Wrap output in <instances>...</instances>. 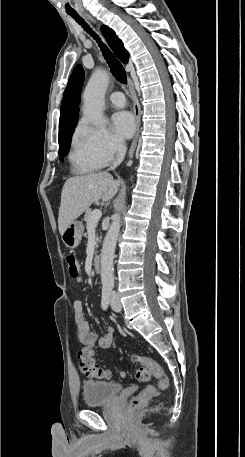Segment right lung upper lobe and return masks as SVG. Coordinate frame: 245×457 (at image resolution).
Here are the masks:
<instances>
[{
	"mask_svg": "<svg viewBox=\"0 0 245 457\" xmlns=\"http://www.w3.org/2000/svg\"><path fill=\"white\" fill-rule=\"evenodd\" d=\"M102 33L105 36L109 46L117 55V57L123 62L127 63L129 53L124 48L122 41L116 36L115 32L107 26L101 27ZM84 81V70L81 65H77L68 81V85L65 89L60 111V125L66 126L77 122L79 114V103L81 89Z\"/></svg>",
	"mask_w": 245,
	"mask_h": 457,
	"instance_id": "1",
	"label": "right lung upper lobe"
}]
</instances>
